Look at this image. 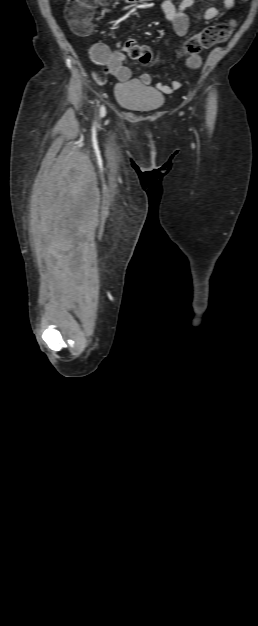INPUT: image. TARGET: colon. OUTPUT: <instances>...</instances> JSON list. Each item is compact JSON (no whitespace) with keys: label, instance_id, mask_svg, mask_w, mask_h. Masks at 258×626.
I'll return each mask as SVG.
<instances>
[{"label":"colon","instance_id":"1","mask_svg":"<svg viewBox=\"0 0 258 626\" xmlns=\"http://www.w3.org/2000/svg\"><path fill=\"white\" fill-rule=\"evenodd\" d=\"M108 0H67L66 16L71 29L79 35H86L92 28V8L96 3L106 4ZM233 29V22L221 23L206 27L190 38L182 50L185 57L196 55L202 48H209L226 41ZM125 51L130 58L143 65L153 62V56L148 46L138 45L134 40L126 41Z\"/></svg>","mask_w":258,"mask_h":626}]
</instances>
